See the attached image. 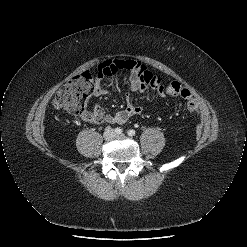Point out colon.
Segmentation results:
<instances>
[{
  "label": "colon",
  "mask_w": 247,
  "mask_h": 247,
  "mask_svg": "<svg viewBox=\"0 0 247 247\" xmlns=\"http://www.w3.org/2000/svg\"><path fill=\"white\" fill-rule=\"evenodd\" d=\"M166 94L170 97H181L186 100L187 108L193 116H197L199 108L190 91L178 82L167 85ZM94 93L92 77L84 72L69 80L53 98V105L58 109L66 110L72 114H82L85 111L88 99Z\"/></svg>",
  "instance_id": "obj_1"
}]
</instances>
